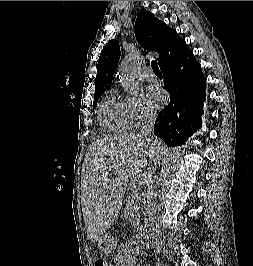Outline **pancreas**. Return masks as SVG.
Returning <instances> with one entry per match:
<instances>
[{
  "mask_svg": "<svg viewBox=\"0 0 253 266\" xmlns=\"http://www.w3.org/2000/svg\"><path fill=\"white\" fill-rule=\"evenodd\" d=\"M139 196L140 195L138 192L136 194H134L133 192L132 194L130 193L129 200L127 202V207H126V215L128 217L130 224L133 227H136L140 219V216H141V212H139V204H138Z\"/></svg>",
  "mask_w": 253,
  "mask_h": 266,
  "instance_id": "obj_1",
  "label": "pancreas"
}]
</instances>
